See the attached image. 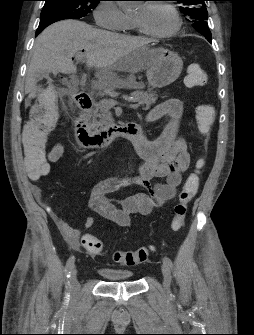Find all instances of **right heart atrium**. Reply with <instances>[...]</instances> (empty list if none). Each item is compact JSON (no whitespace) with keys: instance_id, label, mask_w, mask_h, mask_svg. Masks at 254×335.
Here are the masks:
<instances>
[{"instance_id":"d8ad5b80","label":"right heart atrium","mask_w":254,"mask_h":335,"mask_svg":"<svg viewBox=\"0 0 254 335\" xmlns=\"http://www.w3.org/2000/svg\"><path fill=\"white\" fill-rule=\"evenodd\" d=\"M95 22L98 26L109 29L124 31L132 22L114 1H102L94 10Z\"/></svg>"}]
</instances>
